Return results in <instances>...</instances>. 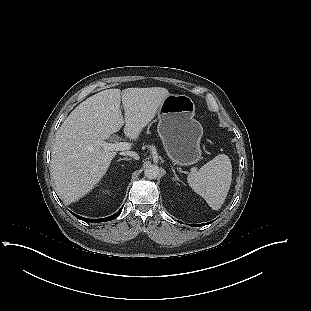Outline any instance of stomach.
<instances>
[{
    "instance_id": "stomach-1",
    "label": "stomach",
    "mask_w": 311,
    "mask_h": 311,
    "mask_svg": "<svg viewBox=\"0 0 311 311\" xmlns=\"http://www.w3.org/2000/svg\"><path fill=\"white\" fill-rule=\"evenodd\" d=\"M157 131L171 161L180 166L201 158V124L194 119L195 104L187 95L169 94L158 108Z\"/></svg>"
}]
</instances>
